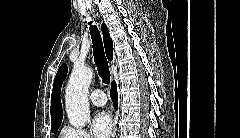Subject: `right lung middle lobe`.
<instances>
[{
	"instance_id": "1",
	"label": "right lung middle lobe",
	"mask_w": 240,
	"mask_h": 138,
	"mask_svg": "<svg viewBox=\"0 0 240 138\" xmlns=\"http://www.w3.org/2000/svg\"><path fill=\"white\" fill-rule=\"evenodd\" d=\"M59 126H60V125L52 126V127H51V131H52L53 133H55V132L58 130Z\"/></svg>"
}]
</instances>
